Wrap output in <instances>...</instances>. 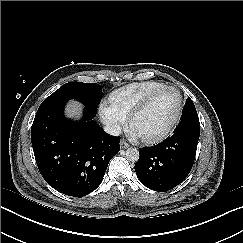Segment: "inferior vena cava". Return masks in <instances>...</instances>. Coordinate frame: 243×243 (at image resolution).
<instances>
[{
    "instance_id": "inferior-vena-cava-1",
    "label": "inferior vena cava",
    "mask_w": 243,
    "mask_h": 243,
    "mask_svg": "<svg viewBox=\"0 0 243 243\" xmlns=\"http://www.w3.org/2000/svg\"><path fill=\"white\" fill-rule=\"evenodd\" d=\"M104 131L112 136H119L121 129L118 125L116 124H108L104 126Z\"/></svg>"
}]
</instances>
